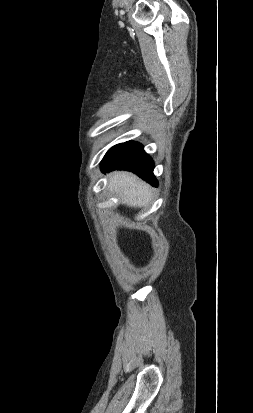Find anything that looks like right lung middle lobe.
I'll return each mask as SVG.
<instances>
[{
    "label": "right lung middle lobe",
    "instance_id": "1",
    "mask_svg": "<svg viewBox=\"0 0 253 413\" xmlns=\"http://www.w3.org/2000/svg\"><path fill=\"white\" fill-rule=\"evenodd\" d=\"M120 144L113 146L107 153L105 156H107L108 154H110L115 148H117Z\"/></svg>",
    "mask_w": 253,
    "mask_h": 413
}]
</instances>
